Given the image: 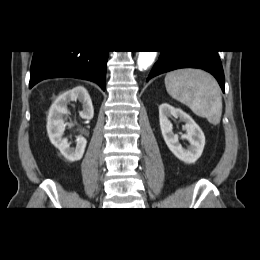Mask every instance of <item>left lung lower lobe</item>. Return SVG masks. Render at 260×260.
I'll return each mask as SVG.
<instances>
[{
  "mask_svg": "<svg viewBox=\"0 0 260 260\" xmlns=\"http://www.w3.org/2000/svg\"><path fill=\"white\" fill-rule=\"evenodd\" d=\"M179 68H199L206 70L217 79L222 91L224 92V72L216 50L161 51L159 60L153 66L147 81L159 74Z\"/></svg>",
  "mask_w": 260,
  "mask_h": 260,
  "instance_id": "1",
  "label": "left lung lower lobe"
}]
</instances>
